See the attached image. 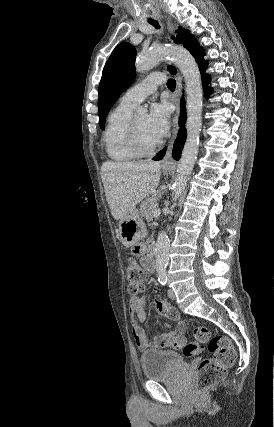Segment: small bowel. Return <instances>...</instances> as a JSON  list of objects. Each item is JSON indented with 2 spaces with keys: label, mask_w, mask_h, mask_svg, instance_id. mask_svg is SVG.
<instances>
[{
  "label": "small bowel",
  "mask_w": 274,
  "mask_h": 427,
  "mask_svg": "<svg viewBox=\"0 0 274 427\" xmlns=\"http://www.w3.org/2000/svg\"><path fill=\"white\" fill-rule=\"evenodd\" d=\"M147 244L140 243L137 246V253L140 256V261L144 269L148 272L154 270L152 262L145 256ZM151 307L156 308L158 313H169L170 312V300L169 299H152ZM128 310L130 313V325L132 333L138 349L141 352H148L150 350L158 349L162 346V342L168 338L182 334L186 330V323L180 319L179 314L172 320L177 321L175 330L167 333H162L159 336L149 339L146 336L144 328L140 325V321L146 318V302L145 298L140 295H134L128 302Z\"/></svg>",
  "instance_id": "c3829d8e"
}]
</instances>
